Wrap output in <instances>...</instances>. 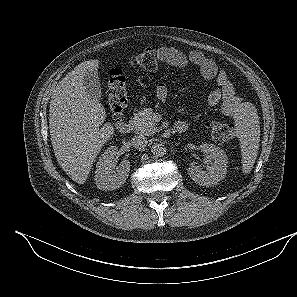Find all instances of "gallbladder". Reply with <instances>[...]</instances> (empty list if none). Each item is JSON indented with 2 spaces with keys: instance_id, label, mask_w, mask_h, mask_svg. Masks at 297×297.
I'll use <instances>...</instances> for the list:
<instances>
[{
  "instance_id": "obj_1",
  "label": "gallbladder",
  "mask_w": 297,
  "mask_h": 297,
  "mask_svg": "<svg viewBox=\"0 0 297 297\" xmlns=\"http://www.w3.org/2000/svg\"><path fill=\"white\" fill-rule=\"evenodd\" d=\"M83 86L88 97L92 100L98 101L101 99V86L96 71H88L83 78Z\"/></svg>"
}]
</instances>
